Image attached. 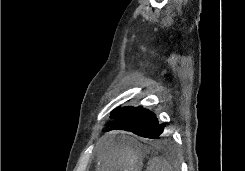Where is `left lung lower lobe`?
<instances>
[{
  "instance_id": "0a47b994",
  "label": "left lung lower lobe",
  "mask_w": 245,
  "mask_h": 171,
  "mask_svg": "<svg viewBox=\"0 0 245 171\" xmlns=\"http://www.w3.org/2000/svg\"><path fill=\"white\" fill-rule=\"evenodd\" d=\"M127 130L141 137L158 139L163 133L164 125L159 123L156 115L149 109L131 107L117 122L109 129Z\"/></svg>"
}]
</instances>
